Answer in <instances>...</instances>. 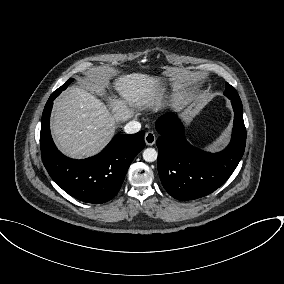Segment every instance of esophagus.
<instances>
[{
    "instance_id": "34e87169",
    "label": "esophagus",
    "mask_w": 284,
    "mask_h": 284,
    "mask_svg": "<svg viewBox=\"0 0 284 284\" xmlns=\"http://www.w3.org/2000/svg\"><path fill=\"white\" fill-rule=\"evenodd\" d=\"M145 143L146 145L148 146H152L155 144V141H156V136L154 134V132L152 131H148L146 134H145Z\"/></svg>"
}]
</instances>
